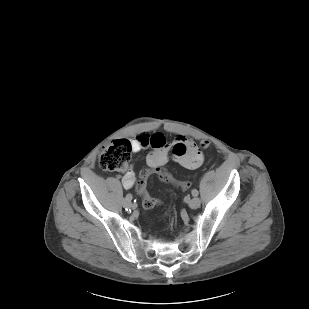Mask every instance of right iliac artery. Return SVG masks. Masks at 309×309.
<instances>
[{"instance_id":"1","label":"right iliac artery","mask_w":309,"mask_h":309,"mask_svg":"<svg viewBox=\"0 0 309 309\" xmlns=\"http://www.w3.org/2000/svg\"><path fill=\"white\" fill-rule=\"evenodd\" d=\"M126 197H127V199H129V200H130V199H132V197H133V196H132V194H130V193H129V194H127V196H126Z\"/></svg>"}]
</instances>
